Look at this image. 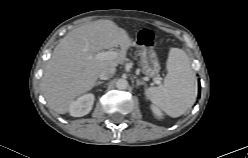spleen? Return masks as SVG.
I'll return each mask as SVG.
<instances>
[{
  "mask_svg": "<svg viewBox=\"0 0 248 158\" xmlns=\"http://www.w3.org/2000/svg\"><path fill=\"white\" fill-rule=\"evenodd\" d=\"M168 74L164 84L150 87L146 97L171 117H179L194 104L197 96L196 78L187 54L171 48L167 59Z\"/></svg>",
  "mask_w": 248,
  "mask_h": 158,
  "instance_id": "obj_1",
  "label": "spleen"
}]
</instances>
